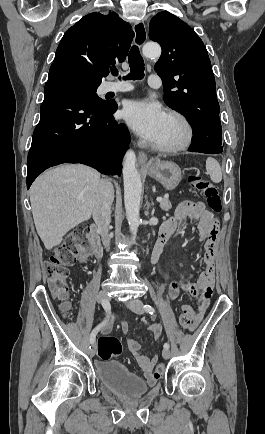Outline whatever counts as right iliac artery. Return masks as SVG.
<instances>
[{
  "mask_svg": "<svg viewBox=\"0 0 265 434\" xmlns=\"http://www.w3.org/2000/svg\"><path fill=\"white\" fill-rule=\"evenodd\" d=\"M102 306L106 310V313L109 314L110 313V303L103 301L102 302ZM106 321H107V319H105L101 324H99L97 327H95L92 330V332L90 334V342H91V344H93L95 342V338H96V335H97L98 331L103 327V325H105Z\"/></svg>",
  "mask_w": 265,
  "mask_h": 434,
  "instance_id": "right-iliac-artery-1",
  "label": "right iliac artery"
}]
</instances>
